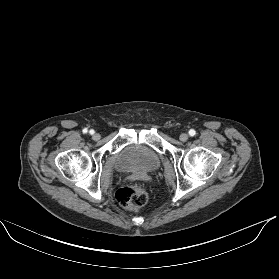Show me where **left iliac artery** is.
Masks as SVG:
<instances>
[{"label":"left iliac artery","instance_id":"1","mask_svg":"<svg viewBox=\"0 0 279 279\" xmlns=\"http://www.w3.org/2000/svg\"><path fill=\"white\" fill-rule=\"evenodd\" d=\"M196 134V131L194 129L189 130V135L194 136Z\"/></svg>","mask_w":279,"mask_h":279}]
</instances>
